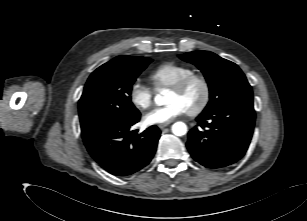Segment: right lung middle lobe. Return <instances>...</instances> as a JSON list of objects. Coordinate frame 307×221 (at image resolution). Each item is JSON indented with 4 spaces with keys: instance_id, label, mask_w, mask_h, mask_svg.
<instances>
[{
    "instance_id": "right-lung-middle-lobe-1",
    "label": "right lung middle lobe",
    "mask_w": 307,
    "mask_h": 221,
    "mask_svg": "<svg viewBox=\"0 0 307 221\" xmlns=\"http://www.w3.org/2000/svg\"><path fill=\"white\" fill-rule=\"evenodd\" d=\"M150 62L152 59L139 57L105 63L90 75L78 106L83 138L103 126L123 123L140 114L130 94L134 81Z\"/></svg>"
}]
</instances>
